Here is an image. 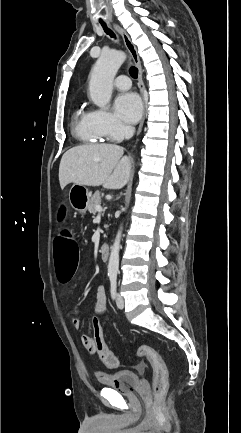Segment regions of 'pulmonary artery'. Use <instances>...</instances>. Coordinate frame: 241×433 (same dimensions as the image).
<instances>
[{"instance_id": "pulmonary-artery-1", "label": "pulmonary artery", "mask_w": 241, "mask_h": 433, "mask_svg": "<svg viewBox=\"0 0 241 433\" xmlns=\"http://www.w3.org/2000/svg\"><path fill=\"white\" fill-rule=\"evenodd\" d=\"M114 85L119 90H127L131 86V81L127 75H120L115 79Z\"/></svg>"}]
</instances>
